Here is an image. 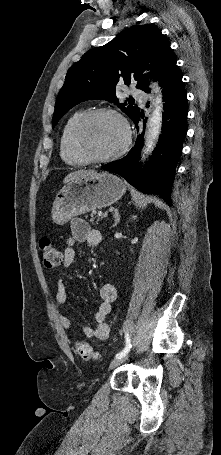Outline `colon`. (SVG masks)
Masks as SVG:
<instances>
[{
    "label": "colon",
    "mask_w": 221,
    "mask_h": 455,
    "mask_svg": "<svg viewBox=\"0 0 221 455\" xmlns=\"http://www.w3.org/2000/svg\"><path fill=\"white\" fill-rule=\"evenodd\" d=\"M40 249L43 257L44 264L47 267H57L62 261L61 253L54 247L50 238L44 237L40 242ZM75 350L77 354L85 361L93 360L98 357L89 343L85 341H77L75 343Z\"/></svg>",
    "instance_id": "obj_1"
}]
</instances>
